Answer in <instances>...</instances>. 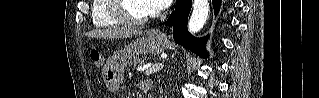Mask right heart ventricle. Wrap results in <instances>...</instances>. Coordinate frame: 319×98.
I'll return each instance as SVG.
<instances>
[{
  "label": "right heart ventricle",
  "instance_id": "obj_1",
  "mask_svg": "<svg viewBox=\"0 0 319 98\" xmlns=\"http://www.w3.org/2000/svg\"><path fill=\"white\" fill-rule=\"evenodd\" d=\"M91 20L95 27H110L119 24L109 12V0H93L91 5Z\"/></svg>",
  "mask_w": 319,
  "mask_h": 98
}]
</instances>
